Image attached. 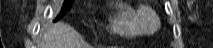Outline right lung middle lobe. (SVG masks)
<instances>
[{"label": "right lung middle lobe", "mask_w": 213, "mask_h": 48, "mask_svg": "<svg viewBox=\"0 0 213 48\" xmlns=\"http://www.w3.org/2000/svg\"><path fill=\"white\" fill-rule=\"evenodd\" d=\"M72 5H73V1L65 0L64 3H63V6H62V10L59 13L57 19H55V21L59 20L63 15H65L66 12L69 9H71Z\"/></svg>", "instance_id": "obj_1"}]
</instances>
